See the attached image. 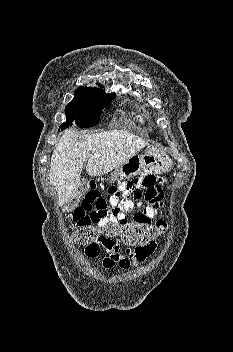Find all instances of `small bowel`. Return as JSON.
Here are the masks:
<instances>
[{"label": "small bowel", "mask_w": 233, "mask_h": 352, "mask_svg": "<svg viewBox=\"0 0 233 352\" xmlns=\"http://www.w3.org/2000/svg\"><path fill=\"white\" fill-rule=\"evenodd\" d=\"M106 195L107 198L95 187L93 181L85 180L82 183L81 202L73 213L76 227L89 221H94L102 229L111 224L149 225L158 215L164 198L160 180L154 176L137 177L119 186H111L107 189ZM143 200L146 205H142ZM135 201L140 207L136 213H134ZM155 249L156 244L151 242L121 250L119 240L115 238L86 246L84 254L88 258H96L103 254L101 264L105 269L115 266L128 269L132 264L144 261L151 256Z\"/></svg>", "instance_id": "c3829d8e"}]
</instances>
